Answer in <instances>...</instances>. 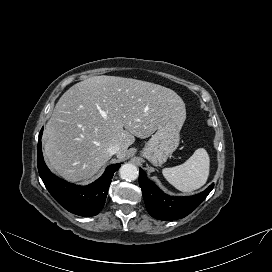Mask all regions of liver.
Listing matches in <instances>:
<instances>
[{"mask_svg": "<svg viewBox=\"0 0 272 272\" xmlns=\"http://www.w3.org/2000/svg\"><path fill=\"white\" fill-rule=\"evenodd\" d=\"M186 119L185 103L173 90L151 82L94 76L69 88L47 122L44 157L51 170L70 182L91 178L119 145L122 159L135 137L145 139L158 127Z\"/></svg>", "mask_w": 272, "mask_h": 272, "instance_id": "1", "label": "liver"}]
</instances>
